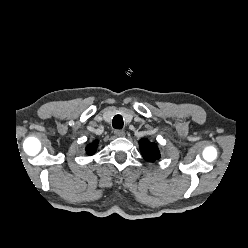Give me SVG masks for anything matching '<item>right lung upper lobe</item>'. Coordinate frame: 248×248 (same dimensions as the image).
I'll return each mask as SVG.
<instances>
[{
	"instance_id": "obj_1",
	"label": "right lung upper lobe",
	"mask_w": 248,
	"mask_h": 248,
	"mask_svg": "<svg viewBox=\"0 0 248 248\" xmlns=\"http://www.w3.org/2000/svg\"><path fill=\"white\" fill-rule=\"evenodd\" d=\"M97 147L98 141L95 140L86 147V152L88 153V155H93L96 152Z\"/></svg>"
}]
</instances>
